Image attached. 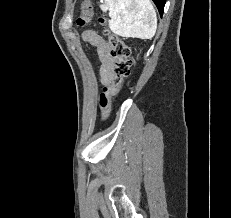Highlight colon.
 <instances>
[{"mask_svg": "<svg viewBox=\"0 0 231 218\" xmlns=\"http://www.w3.org/2000/svg\"><path fill=\"white\" fill-rule=\"evenodd\" d=\"M92 5L85 0L81 5V14L77 19L79 26H84L92 20ZM99 23L104 26V34L108 37L111 54L115 60L114 78L112 82L103 88L100 95L99 105L101 109V120L108 119L111 113L112 100L118 93L125 78L131 73L132 59L130 47L116 34L107 28V19L99 18Z\"/></svg>", "mask_w": 231, "mask_h": 218, "instance_id": "obj_1", "label": "colon"}]
</instances>
